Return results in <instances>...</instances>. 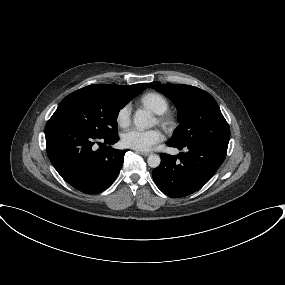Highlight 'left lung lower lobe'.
Listing matches in <instances>:
<instances>
[{
    "label": "left lung lower lobe",
    "mask_w": 285,
    "mask_h": 285,
    "mask_svg": "<svg viewBox=\"0 0 285 285\" xmlns=\"http://www.w3.org/2000/svg\"><path fill=\"white\" fill-rule=\"evenodd\" d=\"M186 152L172 156L160 154L161 164L152 172L158 188L170 197H184L202 188L223 163L228 145L193 142L185 146L167 143Z\"/></svg>",
    "instance_id": "1"
}]
</instances>
